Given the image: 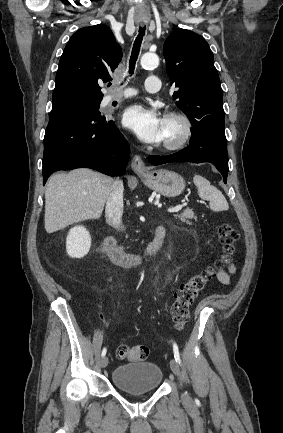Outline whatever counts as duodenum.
<instances>
[{"label": "duodenum", "mask_w": 283, "mask_h": 433, "mask_svg": "<svg viewBox=\"0 0 283 433\" xmlns=\"http://www.w3.org/2000/svg\"><path fill=\"white\" fill-rule=\"evenodd\" d=\"M166 230L165 227L160 225L156 229L155 237L147 249L141 254H134L125 251L118 245L113 236H107L103 242V251L111 260L124 267H136L147 260L155 257L162 248Z\"/></svg>", "instance_id": "410a0bca"}]
</instances>
